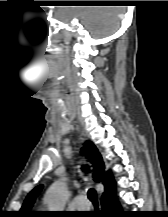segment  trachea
I'll return each instance as SVG.
<instances>
[{
    "instance_id": "1",
    "label": "trachea",
    "mask_w": 168,
    "mask_h": 217,
    "mask_svg": "<svg viewBox=\"0 0 168 217\" xmlns=\"http://www.w3.org/2000/svg\"><path fill=\"white\" fill-rule=\"evenodd\" d=\"M88 169H89L88 166H84L82 168L83 171L88 170ZM88 198L94 205H98L97 193L94 189L88 190Z\"/></svg>"
}]
</instances>
